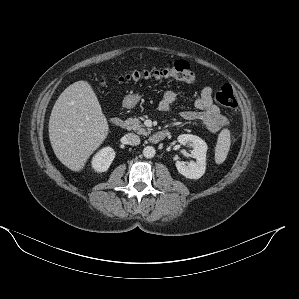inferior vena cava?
<instances>
[{
  "mask_svg": "<svg viewBox=\"0 0 299 299\" xmlns=\"http://www.w3.org/2000/svg\"><path fill=\"white\" fill-rule=\"evenodd\" d=\"M128 145L137 146L140 144V137L133 133H128L124 136Z\"/></svg>",
  "mask_w": 299,
  "mask_h": 299,
  "instance_id": "inferior-vena-cava-1",
  "label": "inferior vena cava"
}]
</instances>
